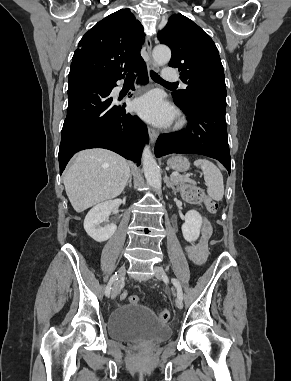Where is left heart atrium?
I'll list each match as a JSON object with an SVG mask.
<instances>
[{"instance_id": "left-heart-atrium-1", "label": "left heart atrium", "mask_w": 291, "mask_h": 381, "mask_svg": "<svg viewBox=\"0 0 291 381\" xmlns=\"http://www.w3.org/2000/svg\"><path fill=\"white\" fill-rule=\"evenodd\" d=\"M133 108L144 120L155 125H167L174 117L173 109L159 92H149L137 98Z\"/></svg>"}]
</instances>
